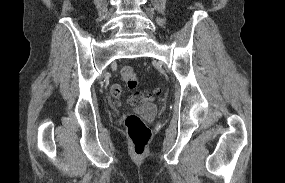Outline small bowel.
<instances>
[{
	"label": "small bowel",
	"mask_w": 285,
	"mask_h": 183,
	"mask_svg": "<svg viewBox=\"0 0 285 183\" xmlns=\"http://www.w3.org/2000/svg\"><path fill=\"white\" fill-rule=\"evenodd\" d=\"M121 92H122V90H121V86L120 85H117V84L112 85V87H111V94H112V96L114 98H119L120 95H121Z\"/></svg>",
	"instance_id": "c3829d8e"
}]
</instances>
